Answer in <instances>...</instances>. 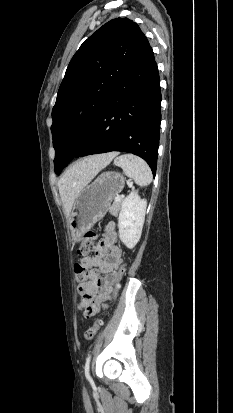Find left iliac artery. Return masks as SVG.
Instances as JSON below:
<instances>
[{"label": "left iliac artery", "instance_id": "1", "mask_svg": "<svg viewBox=\"0 0 233 413\" xmlns=\"http://www.w3.org/2000/svg\"><path fill=\"white\" fill-rule=\"evenodd\" d=\"M90 360H91V355H89V356L87 357L86 363H85V367H84V369H85V376H86L87 380H89V381H91V376H90V373H89Z\"/></svg>", "mask_w": 233, "mask_h": 413}]
</instances>
